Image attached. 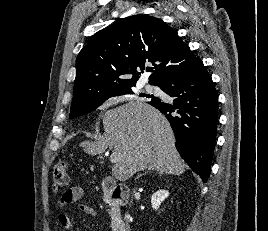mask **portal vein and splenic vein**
Returning a JSON list of instances; mask_svg holds the SVG:
<instances>
[{"label": "portal vein and splenic vein", "instance_id": "obj_1", "mask_svg": "<svg viewBox=\"0 0 268 231\" xmlns=\"http://www.w3.org/2000/svg\"><path fill=\"white\" fill-rule=\"evenodd\" d=\"M119 160V158L117 156H115V154H111L110 156V162L115 163Z\"/></svg>", "mask_w": 268, "mask_h": 231}]
</instances>
